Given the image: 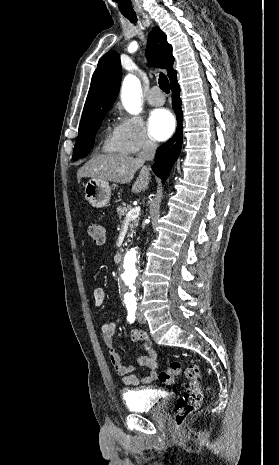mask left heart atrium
I'll return each instance as SVG.
<instances>
[{
	"instance_id": "1",
	"label": "left heart atrium",
	"mask_w": 279,
	"mask_h": 465,
	"mask_svg": "<svg viewBox=\"0 0 279 465\" xmlns=\"http://www.w3.org/2000/svg\"><path fill=\"white\" fill-rule=\"evenodd\" d=\"M174 116L166 109L154 110L148 120L151 135L159 141L169 138L175 130Z\"/></svg>"
}]
</instances>
